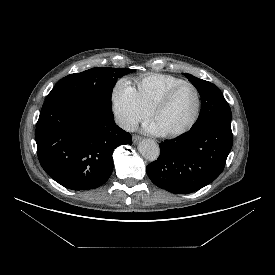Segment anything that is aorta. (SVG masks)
<instances>
[{
    "mask_svg": "<svg viewBox=\"0 0 275 275\" xmlns=\"http://www.w3.org/2000/svg\"><path fill=\"white\" fill-rule=\"evenodd\" d=\"M140 154L148 161H155L159 157V146L151 139H144L138 146Z\"/></svg>",
    "mask_w": 275,
    "mask_h": 275,
    "instance_id": "762f6f07",
    "label": "aorta"
}]
</instances>
